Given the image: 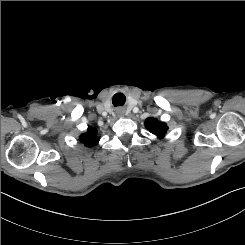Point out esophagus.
<instances>
[{"mask_svg": "<svg viewBox=\"0 0 245 245\" xmlns=\"http://www.w3.org/2000/svg\"><path fill=\"white\" fill-rule=\"evenodd\" d=\"M117 114L119 115V116H122L123 114H124V110H122V109H118L117 110Z\"/></svg>", "mask_w": 245, "mask_h": 245, "instance_id": "1", "label": "esophagus"}]
</instances>
